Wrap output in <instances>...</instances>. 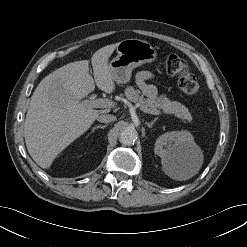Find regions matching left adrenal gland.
<instances>
[{
    "instance_id": "left-adrenal-gland-1",
    "label": "left adrenal gland",
    "mask_w": 247,
    "mask_h": 247,
    "mask_svg": "<svg viewBox=\"0 0 247 247\" xmlns=\"http://www.w3.org/2000/svg\"><path fill=\"white\" fill-rule=\"evenodd\" d=\"M157 121V118H155L152 122L150 123H146V125L151 128L153 126V124Z\"/></svg>"
}]
</instances>
